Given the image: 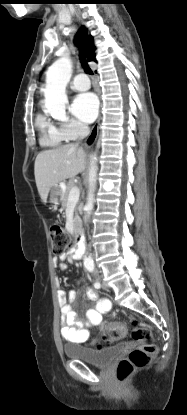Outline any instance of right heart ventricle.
Here are the masks:
<instances>
[{"label": "right heart ventricle", "mask_w": 187, "mask_h": 415, "mask_svg": "<svg viewBox=\"0 0 187 415\" xmlns=\"http://www.w3.org/2000/svg\"><path fill=\"white\" fill-rule=\"evenodd\" d=\"M40 134V143L45 147H57L66 141L61 129L44 114H38L35 121Z\"/></svg>", "instance_id": "e07e8e85"}]
</instances>
